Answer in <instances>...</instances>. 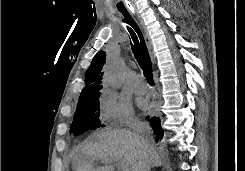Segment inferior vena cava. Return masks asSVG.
I'll return each mask as SVG.
<instances>
[{
	"label": "inferior vena cava",
	"instance_id": "1",
	"mask_svg": "<svg viewBox=\"0 0 245 171\" xmlns=\"http://www.w3.org/2000/svg\"><path fill=\"white\" fill-rule=\"evenodd\" d=\"M134 130L140 134H142V136H145L142 137V141L145 145L146 148L149 147V141H148V138L150 136V127L146 124H142V123H138L134 126ZM149 163L148 162H145L143 165H142V168H141V171H149Z\"/></svg>",
	"mask_w": 245,
	"mask_h": 171
}]
</instances>
